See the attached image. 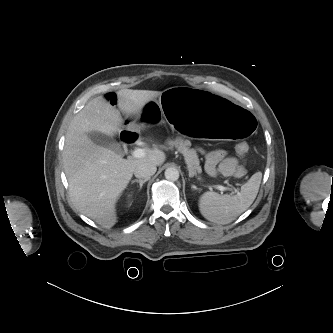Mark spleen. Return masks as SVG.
<instances>
[{"label":"spleen","mask_w":333,"mask_h":333,"mask_svg":"<svg viewBox=\"0 0 333 333\" xmlns=\"http://www.w3.org/2000/svg\"><path fill=\"white\" fill-rule=\"evenodd\" d=\"M262 173L256 172L241 186L236 195H220L205 192L199 198L198 207L201 215L210 222L228 224L246 211L254 202L259 191Z\"/></svg>","instance_id":"1"}]
</instances>
